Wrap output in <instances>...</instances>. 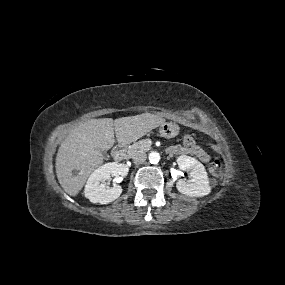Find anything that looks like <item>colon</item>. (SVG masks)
I'll use <instances>...</instances> for the list:
<instances>
[{"mask_svg":"<svg viewBox=\"0 0 285 285\" xmlns=\"http://www.w3.org/2000/svg\"><path fill=\"white\" fill-rule=\"evenodd\" d=\"M182 144L187 148H192L195 145V138L194 134L191 131H186L183 134ZM210 171L212 175L218 177L222 173V164L218 158H214L211 166Z\"/></svg>","mask_w":285,"mask_h":285,"instance_id":"obj_1","label":"colon"}]
</instances>
